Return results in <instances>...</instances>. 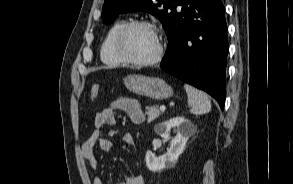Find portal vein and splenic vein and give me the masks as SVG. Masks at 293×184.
<instances>
[{
	"label": "portal vein and splenic vein",
	"mask_w": 293,
	"mask_h": 184,
	"mask_svg": "<svg viewBox=\"0 0 293 184\" xmlns=\"http://www.w3.org/2000/svg\"><path fill=\"white\" fill-rule=\"evenodd\" d=\"M166 107L165 106H160L161 111H165Z\"/></svg>",
	"instance_id": "18ae733b"
}]
</instances>
